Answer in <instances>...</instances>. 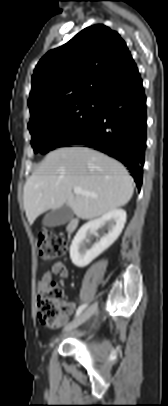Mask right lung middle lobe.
Wrapping results in <instances>:
<instances>
[{
    "instance_id": "right-lung-middle-lobe-1",
    "label": "right lung middle lobe",
    "mask_w": 168,
    "mask_h": 406,
    "mask_svg": "<svg viewBox=\"0 0 168 406\" xmlns=\"http://www.w3.org/2000/svg\"><path fill=\"white\" fill-rule=\"evenodd\" d=\"M98 100L87 99L53 115L28 124L34 152L47 153L63 147L73 137L82 133L95 119Z\"/></svg>"
}]
</instances>
